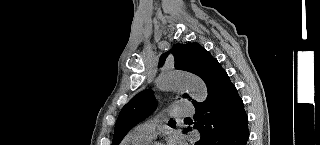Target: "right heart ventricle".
<instances>
[{"instance_id": "1", "label": "right heart ventricle", "mask_w": 320, "mask_h": 145, "mask_svg": "<svg viewBox=\"0 0 320 145\" xmlns=\"http://www.w3.org/2000/svg\"><path fill=\"white\" fill-rule=\"evenodd\" d=\"M151 140V138L133 130L125 136L121 145H147Z\"/></svg>"}]
</instances>
